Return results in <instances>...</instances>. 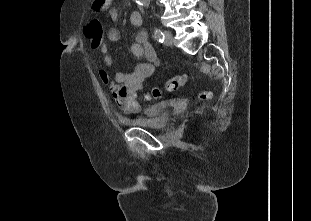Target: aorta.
Listing matches in <instances>:
<instances>
[{
    "instance_id": "762f6f07",
    "label": "aorta",
    "mask_w": 311,
    "mask_h": 221,
    "mask_svg": "<svg viewBox=\"0 0 311 221\" xmlns=\"http://www.w3.org/2000/svg\"><path fill=\"white\" fill-rule=\"evenodd\" d=\"M142 6H149L150 0H141Z\"/></svg>"
}]
</instances>
